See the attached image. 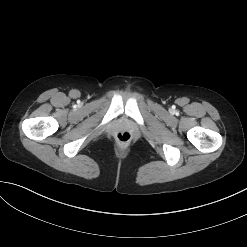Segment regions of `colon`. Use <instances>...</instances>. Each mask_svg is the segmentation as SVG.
<instances>
[{
    "label": "colon",
    "instance_id": "5ec220e1",
    "mask_svg": "<svg viewBox=\"0 0 247 247\" xmlns=\"http://www.w3.org/2000/svg\"><path fill=\"white\" fill-rule=\"evenodd\" d=\"M117 139L122 142L126 143L130 141L131 139V134L128 131H121L117 133Z\"/></svg>",
    "mask_w": 247,
    "mask_h": 247
}]
</instances>
